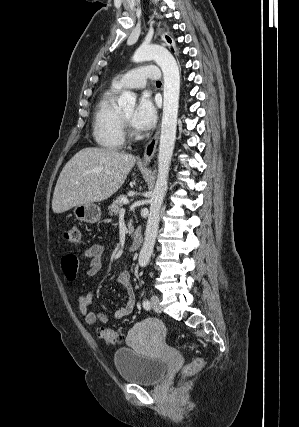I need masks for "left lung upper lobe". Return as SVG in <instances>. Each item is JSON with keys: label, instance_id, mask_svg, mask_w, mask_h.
Returning a JSON list of instances; mask_svg holds the SVG:
<instances>
[{"label": "left lung upper lobe", "instance_id": "5c2ea615", "mask_svg": "<svg viewBox=\"0 0 299 427\" xmlns=\"http://www.w3.org/2000/svg\"><path fill=\"white\" fill-rule=\"evenodd\" d=\"M166 39H167V41H168L169 43L171 42V40H170V38H169V37H167V36H166Z\"/></svg>", "mask_w": 299, "mask_h": 427}]
</instances>
